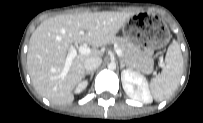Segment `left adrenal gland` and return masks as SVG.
<instances>
[{"instance_id": "a2214340", "label": "left adrenal gland", "mask_w": 203, "mask_h": 123, "mask_svg": "<svg viewBox=\"0 0 203 123\" xmlns=\"http://www.w3.org/2000/svg\"><path fill=\"white\" fill-rule=\"evenodd\" d=\"M125 66L128 67V65L124 62V60L120 59V68L123 69Z\"/></svg>"}]
</instances>
